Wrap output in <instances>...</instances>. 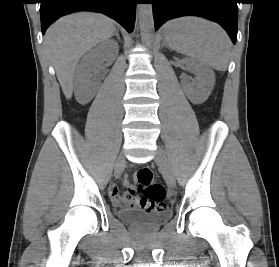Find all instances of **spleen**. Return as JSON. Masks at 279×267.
<instances>
[{
  "mask_svg": "<svg viewBox=\"0 0 279 267\" xmlns=\"http://www.w3.org/2000/svg\"><path fill=\"white\" fill-rule=\"evenodd\" d=\"M168 46L193 59L226 71L231 41L216 23L193 16L174 19L165 26Z\"/></svg>",
  "mask_w": 279,
  "mask_h": 267,
  "instance_id": "3e777b00",
  "label": "spleen"
}]
</instances>
